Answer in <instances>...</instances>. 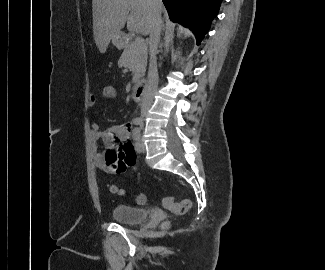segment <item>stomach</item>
Masks as SVG:
<instances>
[{"instance_id": "stomach-1", "label": "stomach", "mask_w": 325, "mask_h": 270, "mask_svg": "<svg viewBox=\"0 0 325 270\" xmlns=\"http://www.w3.org/2000/svg\"><path fill=\"white\" fill-rule=\"evenodd\" d=\"M112 42H113V44H114L117 48H119V49L124 48L125 45H126L125 37H124V35L121 34V33L118 34V35H116V36L112 39Z\"/></svg>"}]
</instances>
